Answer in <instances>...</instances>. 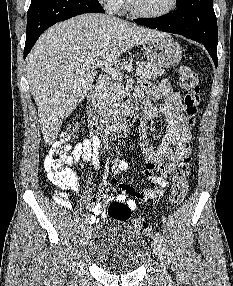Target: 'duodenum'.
<instances>
[{
  "label": "duodenum",
  "mask_w": 233,
  "mask_h": 286,
  "mask_svg": "<svg viewBox=\"0 0 233 286\" xmlns=\"http://www.w3.org/2000/svg\"><path fill=\"white\" fill-rule=\"evenodd\" d=\"M87 119L89 127L94 132H101L105 136L117 133L137 120V111L133 106L127 107L113 122H107L98 107V85L90 92L87 99Z\"/></svg>",
  "instance_id": "obj_1"
}]
</instances>
